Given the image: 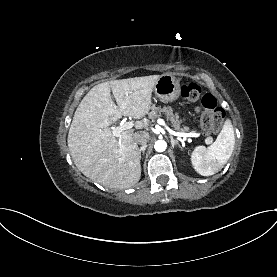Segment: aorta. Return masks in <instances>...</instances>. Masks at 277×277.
Here are the masks:
<instances>
[{"instance_id": "762f6f07", "label": "aorta", "mask_w": 277, "mask_h": 277, "mask_svg": "<svg viewBox=\"0 0 277 277\" xmlns=\"http://www.w3.org/2000/svg\"><path fill=\"white\" fill-rule=\"evenodd\" d=\"M154 148L157 152H163L167 148V143L164 140H157L154 144Z\"/></svg>"}]
</instances>
